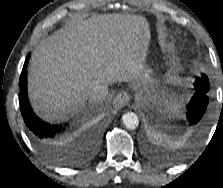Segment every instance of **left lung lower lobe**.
<instances>
[{
    "label": "left lung lower lobe",
    "mask_w": 223,
    "mask_h": 188,
    "mask_svg": "<svg viewBox=\"0 0 223 188\" xmlns=\"http://www.w3.org/2000/svg\"><path fill=\"white\" fill-rule=\"evenodd\" d=\"M209 102L208 94L196 90L191 101L187 106V128L191 131L197 129V125L204 116Z\"/></svg>",
    "instance_id": "left-lung-lower-lobe-1"
}]
</instances>
